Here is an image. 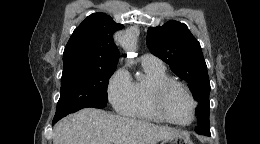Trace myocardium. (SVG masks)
I'll return each mask as SVG.
<instances>
[{
	"label": "myocardium",
	"mask_w": 260,
	"mask_h": 144,
	"mask_svg": "<svg viewBox=\"0 0 260 144\" xmlns=\"http://www.w3.org/2000/svg\"><path fill=\"white\" fill-rule=\"evenodd\" d=\"M176 88L181 89L187 95V97L189 98L192 104V115L190 120L187 122L182 123V122L175 121L167 114L165 110V106H164L165 99L168 93ZM150 105L153 111L161 120L176 126H182V127L188 126L194 121L196 116L197 102L193 94L191 93V91L186 85L175 80L160 82L154 85L150 94Z\"/></svg>",
	"instance_id": "myocardium-1"
}]
</instances>
